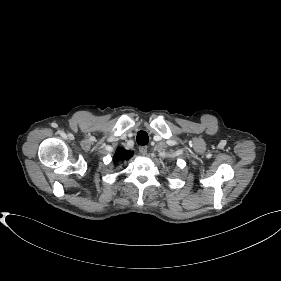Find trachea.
Listing matches in <instances>:
<instances>
[{"mask_svg":"<svg viewBox=\"0 0 281 281\" xmlns=\"http://www.w3.org/2000/svg\"><path fill=\"white\" fill-rule=\"evenodd\" d=\"M136 141L139 145H146L149 142L148 134L145 131H139L136 137Z\"/></svg>","mask_w":281,"mask_h":281,"instance_id":"trachea-1","label":"trachea"}]
</instances>
